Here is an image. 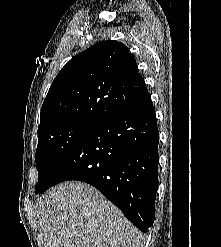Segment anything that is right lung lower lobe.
<instances>
[{
	"label": "right lung lower lobe",
	"mask_w": 221,
	"mask_h": 247,
	"mask_svg": "<svg viewBox=\"0 0 221 247\" xmlns=\"http://www.w3.org/2000/svg\"><path fill=\"white\" fill-rule=\"evenodd\" d=\"M159 132L151 96L145 94L98 124L75 146L49 183H89L142 232L155 219Z\"/></svg>",
	"instance_id": "1"
}]
</instances>
